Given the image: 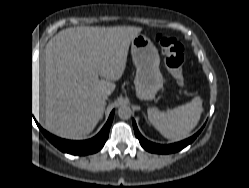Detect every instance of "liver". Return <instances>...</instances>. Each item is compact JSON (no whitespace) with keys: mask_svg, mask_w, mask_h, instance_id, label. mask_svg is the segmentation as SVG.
<instances>
[{"mask_svg":"<svg viewBox=\"0 0 249 188\" xmlns=\"http://www.w3.org/2000/svg\"><path fill=\"white\" fill-rule=\"evenodd\" d=\"M140 27H77L53 37L33 76V112L50 133L81 139L103 116ZM99 76L104 79H99Z\"/></svg>","mask_w":249,"mask_h":188,"instance_id":"obj_1","label":"liver"}]
</instances>
